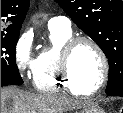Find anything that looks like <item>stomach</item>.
Masks as SVG:
<instances>
[{
    "label": "stomach",
    "mask_w": 123,
    "mask_h": 113,
    "mask_svg": "<svg viewBox=\"0 0 123 113\" xmlns=\"http://www.w3.org/2000/svg\"><path fill=\"white\" fill-rule=\"evenodd\" d=\"M80 113H104V110L97 104H91L85 107Z\"/></svg>",
    "instance_id": "stomach-1"
}]
</instances>
